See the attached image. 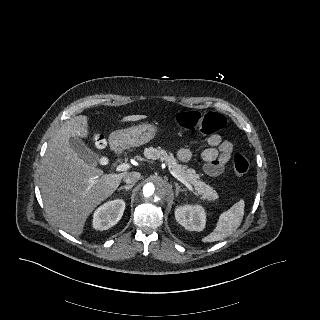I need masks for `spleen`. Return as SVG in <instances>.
<instances>
[{
	"label": "spleen",
	"instance_id": "1",
	"mask_svg": "<svg viewBox=\"0 0 320 320\" xmlns=\"http://www.w3.org/2000/svg\"><path fill=\"white\" fill-rule=\"evenodd\" d=\"M245 203L241 199L230 209L220 214L212 233L202 239L203 242H215L231 235L241 224L244 216Z\"/></svg>",
	"mask_w": 320,
	"mask_h": 320
}]
</instances>
